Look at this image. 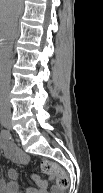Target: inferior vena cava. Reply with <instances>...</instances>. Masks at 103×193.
<instances>
[{
	"mask_svg": "<svg viewBox=\"0 0 103 193\" xmlns=\"http://www.w3.org/2000/svg\"><path fill=\"white\" fill-rule=\"evenodd\" d=\"M22 8V5L20 9ZM17 34V21L14 20L12 27L6 35L5 41L1 46L0 60V116L3 118L11 117V105L9 99L10 79H11V54L13 41Z\"/></svg>",
	"mask_w": 103,
	"mask_h": 193,
	"instance_id": "obj_1",
	"label": "inferior vena cava"
}]
</instances>
